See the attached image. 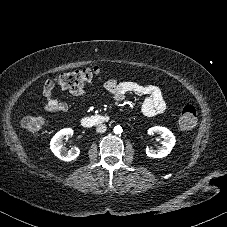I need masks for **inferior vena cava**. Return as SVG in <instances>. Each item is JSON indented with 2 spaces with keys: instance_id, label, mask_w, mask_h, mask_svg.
<instances>
[{
  "instance_id": "inferior-vena-cava-1",
  "label": "inferior vena cava",
  "mask_w": 227,
  "mask_h": 227,
  "mask_svg": "<svg viewBox=\"0 0 227 227\" xmlns=\"http://www.w3.org/2000/svg\"><path fill=\"white\" fill-rule=\"evenodd\" d=\"M107 127L104 124H100L96 127L97 133H104L106 131Z\"/></svg>"
}]
</instances>
